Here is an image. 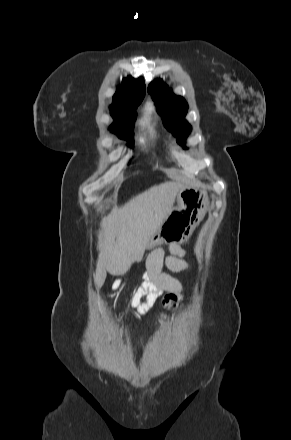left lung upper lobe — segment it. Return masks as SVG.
Returning a JSON list of instances; mask_svg holds the SVG:
<instances>
[{"label": "left lung upper lobe", "mask_w": 291, "mask_h": 440, "mask_svg": "<svg viewBox=\"0 0 291 440\" xmlns=\"http://www.w3.org/2000/svg\"><path fill=\"white\" fill-rule=\"evenodd\" d=\"M148 92L155 101L166 128L177 136V142L184 146L188 132L191 131L190 124L184 119L188 110L187 102L183 97L174 95L161 79L151 82Z\"/></svg>", "instance_id": "obj_1"}]
</instances>
